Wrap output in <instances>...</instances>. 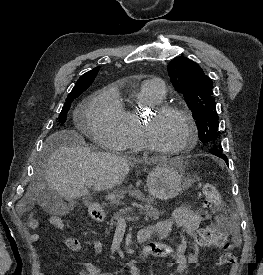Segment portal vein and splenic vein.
<instances>
[{
  "label": "portal vein and splenic vein",
  "instance_id": "obj_1",
  "mask_svg": "<svg viewBox=\"0 0 263 275\" xmlns=\"http://www.w3.org/2000/svg\"><path fill=\"white\" fill-rule=\"evenodd\" d=\"M92 183H88L87 184V186L89 187V188H91L92 187ZM133 219H137V217H134V218H132V217H128V218H123V217H121V218H119V220H118V223L119 224H125L126 223V220H133Z\"/></svg>",
  "mask_w": 263,
  "mask_h": 275
}]
</instances>
